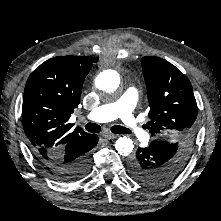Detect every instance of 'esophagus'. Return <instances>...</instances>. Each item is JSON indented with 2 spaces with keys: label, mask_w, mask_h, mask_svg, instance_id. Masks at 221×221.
Segmentation results:
<instances>
[{
  "label": "esophagus",
  "mask_w": 221,
  "mask_h": 221,
  "mask_svg": "<svg viewBox=\"0 0 221 221\" xmlns=\"http://www.w3.org/2000/svg\"><path fill=\"white\" fill-rule=\"evenodd\" d=\"M104 137L106 138V139H115V138H117L118 137V135H116V134H112V133H106V134H104Z\"/></svg>",
  "instance_id": "esophagus-1"
}]
</instances>
